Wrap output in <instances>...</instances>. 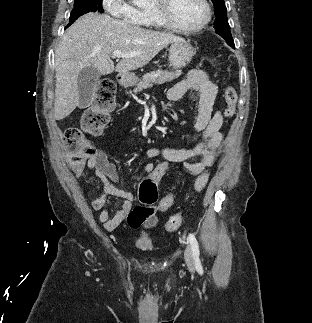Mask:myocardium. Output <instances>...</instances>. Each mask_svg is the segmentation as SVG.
Segmentation results:
<instances>
[{"instance_id": "f54148a6", "label": "myocardium", "mask_w": 312, "mask_h": 323, "mask_svg": "<svg viewBox=\"0 0 312 323\" xmlns=\"http://www.w3.org/2000/svg\"><path fill=\"white\" fill-rule=\"evenodd\" d=\"M167 3L168 0H159L157 8L160 13V21L165 25L170 23L169 31H204L214 15L213 5L209 0H198L201 6L200 11L203 13L199 20H174Z\"/></svg>"}]
</instances>
